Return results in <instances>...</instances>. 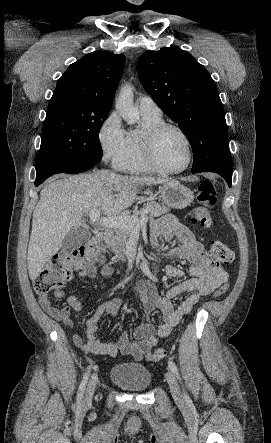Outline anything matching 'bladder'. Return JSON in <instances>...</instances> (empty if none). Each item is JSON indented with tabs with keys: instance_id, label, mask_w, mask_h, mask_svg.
Returning a JSON list of instances; mask_svg holds the SVG:
<instances>
[{
	"instance_id": "1",
	"label": "bladder",
	"mask_w": 271,
	"mask_h": 443,
	"mask_svg": "<svg viewBox=\"0 0 271 443\" xmlns=\"http://www.w3.org/2000/svg\"><path fill=\"white\" fill-rule=\"evenodd\" d=\"M110 380L122 389L143 392L151 384V373L144 365L134 362L117 363L109 372Z\"/></svg>"
}]
</instances>
